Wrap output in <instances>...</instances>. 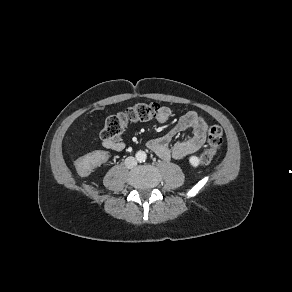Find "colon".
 Listing matches in <instances>:
<instances>
[{
	"label": "colon",
	"instance_id": "obj_1",
	"mask_svg": "<svg viewBox=\"0 0 292 292\" xmlns=\"http://www.w3.org/2000/svg\"><path fill=\"white\" fill-rule=\"evenodd\" d=\"M161 106L157 103H138L124 111L109 116L106 119L101 139L103 141H120L123 132L133 123L144 122L158 118ZM223 142V130L219 125H213L208 131V147L200 154L202 165H208L217 149ZM107 155L104 152H95L81 158L77 162L80 172L86 173L99 162H104Z\"/></svg>",
	"mask_w": 292,
	"mask_h": 292
}]
</instances>
